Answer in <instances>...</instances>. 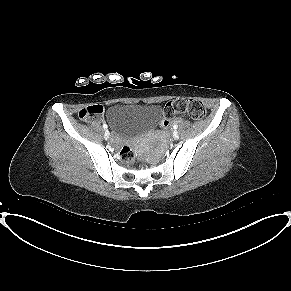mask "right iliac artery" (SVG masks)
Listing matches in <instances>:
<instances>
[{
	"label": "right iliac artery",
	"instance_id": "1",
	"mask_svg": "<svg viewBox=\"0 0 291 291\" xmlns=\"http://www.w3.org/2000/svg\"><path fill=\"white\" fill-rule=\"evenodd\" d=\"M103 128L106 129L107 128V125L106 124H103Z\"/></svg>",
	"mask_w": 291,
	"mask_h": 291
}]
</instances>
